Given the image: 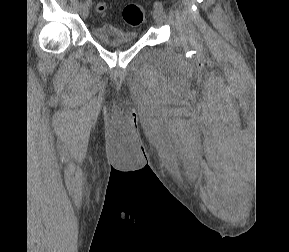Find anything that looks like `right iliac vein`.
Wrapping results in <instances>:
<instances>
[{
	"label": "right iliac vein",
	"mask_w": 289,
	"mask_h": 252,
	"mask_svg": "<svg viewBox=\"0 0 289 252\" xmlns=\"http://www.w3.org/2000/svg\"><path fill=\"white\" fill-rule=\"evenodd\" d=\"M79 12L83 18H87L89 15V6H87L85 3H81L79 5Z\"/></svg>",
	"instance_id": "63e3f726"
}]
</instances>
